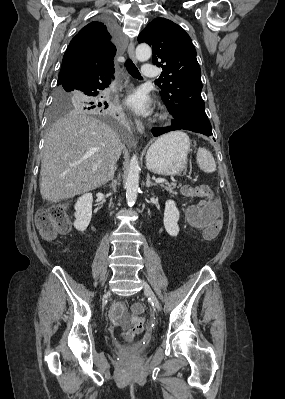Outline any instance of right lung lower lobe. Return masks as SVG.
I'll return each instance as SVG.
<instances>
[{
  "mask_svg": "<svg viewBox=\"0 0 285 399\" xmlns=\"http://www.w3.org/2000/svg\"><path fill=\"white\" fill-rule=\"evenodd\" d=\"M109 31L116 38L117 30L113 22L109 20L104 21ZM114 70L105 71H82L73 78L64 83V85H71L72 87L81 90L90 97L99 96L102 91L109 87L113 78ZM97 105L101 103L97 102ZM106 106H108L106 104Z\"/></svg>",
  "mask_w": 285,
  "mask_h": 399,
  "instance_id": "98d812e1",
  "label": "right lung lower lobe"
}]
</instances>
